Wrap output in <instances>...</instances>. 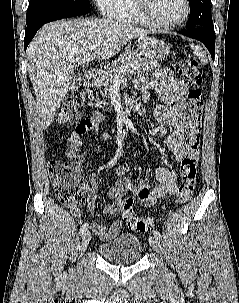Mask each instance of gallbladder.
Wrapping results in <instances>:
<instances>
[{
	"label": "gallbladder",
	"mask_w": 239,
	"mask_h": 303,
	"mask_svg": "<svg viewBox=\"0 0 239 303\" xmlns=\"http://www.w3.org/2000/svg\"><path fill=\"white\" fill-rule=\"evenodd\" d=\"M83 75L80 72L74 73L69 79V90L76 91L82 85Z\"/></svg>",
	"instance_id": "obj_1"
}]
</instances>
